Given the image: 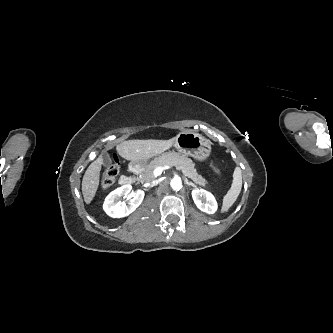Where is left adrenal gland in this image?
Masks as SVG:
<instances>
[{
    "mask_svg": "<svg viewBox=\"0 0 333 333\" xmlns=\"http://www.w3.org/2000/svg\"><path fill=\"white\" fill-rule=\"evenodd\" d=\"M185 183L187 184V185H191V186H193V187H197V185L196 184H194L193 182H190L187 178H185Z\"/></svg>",
    "mask_w": 333,
    "mask_h": 333,
    "instance_id": "a2214340",
    "label": "left adrenal gland"
}]
</instances>
